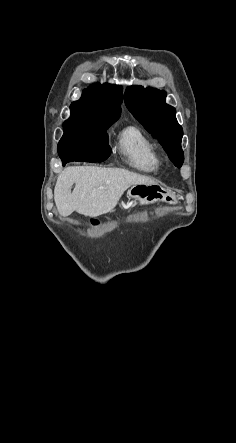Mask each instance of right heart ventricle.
Segmentation results:
<instances>
[{
  "mask_svg": "<svg viewBox=\"0 0 236 443\" xmlns=\"http://www.w3.org/2000/svg\"><path fill=\"white\" fill-rule=\"evenodd\" d=\"M116 149L125 163L140 172L158 169V154L152 140L137 126H126L116 138Z\"/></svg>",
  "mask_w": 236,
  "mask_h": 443,
  "instance_id": "1",
  "label": "right heart ventricle"
}]
</instances>
